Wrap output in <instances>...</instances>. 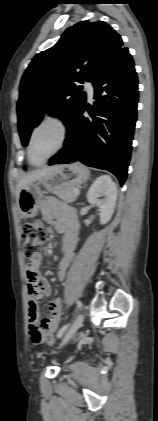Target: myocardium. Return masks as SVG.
<instances>
[{"label": "myocardium", "instance_id": "myocardium-1", "mask_svg": "<svg viewBox=\"0 0 158 421\" xmlns=\"http://www.w3.org/2000/svg\"><path fill=\"white\" fill-rule=\"evenodd\" d=\"M46 124H54L59 128L60 131V140H59V144L57 146V148L48 156L46 157L43 161L39 162V163H34L31 160V154H30V148H31V143L33 140V137L35 135V133L38 131V129H40L42 126L46 125ZM69 135V127L68 124L66 122V120L57 114H48L45 115L44 117H42L31 129V132L29 134L28 137V141H27V146H26V152H27V158L28 161L30 162V164L34 165V166H42L44 164H46L51 158H53L55 155H57L65 146L67 138Z\"/></svg>", "mask_w": 158, "mask_h": 421}]
</instances>
